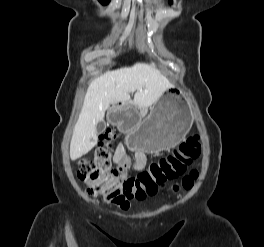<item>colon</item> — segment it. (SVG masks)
Segmentation results:
<instances>
[{
  "label": "colon",
  "instance_id": "5ec220e1",
  "mask_svg": "<svg viewBox=\"0 0 264 247\" xmlns=\"http://www.w3.org/2000/svg\"><path fill=\"white\" fill-rule=\"evenodd\" d=\"M116 136L112 128L104 129L94 160L85 159L79 163L78 176L86 184L89 196H100L121 209H127L131 201L154 195L179 176L183 178L173 186L174 190L190 191L194 187L199 176L198 170L185 172L200 155L199 136L187 139L171 154L152 162L135 177L126 174L125 166L112 167V143Z\"/></svg>",
  "mask_w": 264,
  "mask_h": 247
}]
</instances>
